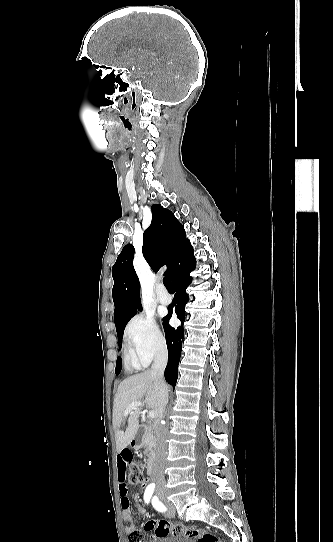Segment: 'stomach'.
<instances>
[{
	"instance_id": "0dacf381",
	"label": "stomach",
	"mask_w": 333,
	"mask_h": 542,
	"mask_svg": "<svg viewBox=\"0 0 333 542\" xmlns=\"http://www.w3.org/2000/svg\"><path fill=\"white\" fill-rule=\"evenodd\" d=\"M139 436H135L134 440L130 442V446L132 448H135V450H138V448H142V442H143V434L141 432H138Z\"/></svg>"
}]
</instances>
